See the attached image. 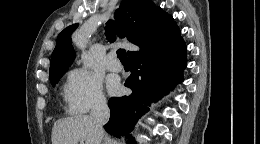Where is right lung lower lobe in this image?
I'll use <instances>...</instances> for the list:
<instances>
[{
  "label": "right lung lower lobe",
  "instance_id": "98d812e1",
  "mask_svg": "<svg viewBox=\"0 0 260 144\" xmlns=\"http://www.w3.org/2000/svg\"><path fill=\"white\" fill-rule=\"evenodd\" d=\"M131 75L124 85L132 89L129 96L112 97L108 101L110 119L105 130L116 136L127 135L152 101L166 95L183 81L187 65L186 45L179 34L174 39L146 51L130 54ZM129 140L132 137L129 135Z\"/></svg>",
  "mask_w": 260,
  "mask_h": 144
}]
</instances>
